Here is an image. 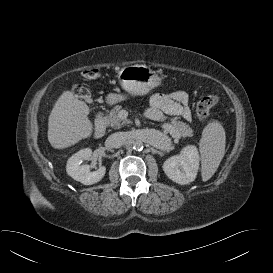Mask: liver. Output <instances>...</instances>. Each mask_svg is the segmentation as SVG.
<instances>
[{"instance_id":"6515ba94","label":"liver","mask_w":273,"mask_h":273,"mask_svg":"<svg viewBox=\"0 0 273 273\" xmlns=\"http://www.w3.org/2000/svg\"><path fill=\"white\" fill-rule=\"evenodd\" d=\"M88 105L69 91L55 103L48 122V141L55 149H65L91 136L93 125Z\"/></svg>"}]
</instances>
